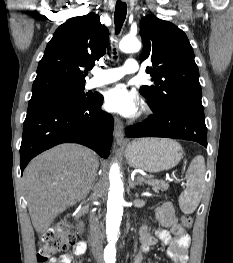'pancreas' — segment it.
I'll use <instances>...</instances> for the list:
<instances>
[{"label":"pancreas","mask_w":233,"mask_h":263,"mask_svg":"<svg viewBox=\"0 0 233 263\" xmlns=\"http://www.w3.org/2000/svg\"><path fill=\"white\" fill-rule=\"evenodd\" d=\"M138 178H140V177H138ZM141 178H143V177H141ZM143 181L146 184L152 186L153 190L156 192H158L159 190L165 191L169 187V185L166 182H164L163 180L155 179L152 175H148L146 177V179L143 178Z\"/></svg>","instance_id":"cf45deb5"}]
</instances>
